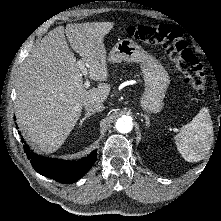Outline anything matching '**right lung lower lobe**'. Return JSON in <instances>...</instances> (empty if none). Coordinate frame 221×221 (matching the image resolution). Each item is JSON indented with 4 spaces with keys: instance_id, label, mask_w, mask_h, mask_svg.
<instances>
[{
    "instance_id": "right-lung-lower-lobe-1",
    "label": "right lung lower lobe",
    "mask_w": 221,
    "mask_h": 221,
    "mask_svg": "<svg viewBox=\"0 0 221 221\" xmlns=\"http://www.w3.org/2000/svg\"><path fill=\"white\" fill-rule=\"evenodd\" d=\"M22 142H24L23 139ZM24 151L27 154L33 168L39 174L63 184L76 182L87 173L97 159L96 150L87 157L75 162L62 159L45 158L33 153L26 145H24Z\"/></svg>"
}]
</instances>
